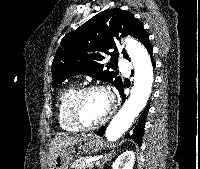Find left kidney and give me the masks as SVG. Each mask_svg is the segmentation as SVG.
<instances>
[{
	"mask_svg": "<svg viewBox=\"0 0 200 169\" xmlns=\"http://www.w3.org/2000/svg\"><path fill=\"white\" fill-rule=\"evenodd\" d=\"M135 154L133 151H125L113 162V169H133Z\"/></svg>",
	"mask_w": 200,
	"mask_h": 169,
	"instance_id": "left-kidney-1",
	"label": "left kidney"
}]
</instances>
